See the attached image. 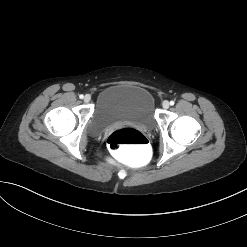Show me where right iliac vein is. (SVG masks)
I'll return each instance as SVG.
<instances>
[{
	"label": "right iliac vein",
	"mask_w": 247,
	"mask_h": 247,
	"mask_svg": "<svg viewBox=\"0 0 247 247\" xmlns=\"http://www.w3.org/2000/svg\"><path fill=\"white\" fill-rule=\"evenodd\" d=\"M91 100V96L89 94L84 96V102L88 103Z\"/></svg>",
	"instance_id": "right-iliac-vein-1"
}]
</instances>
